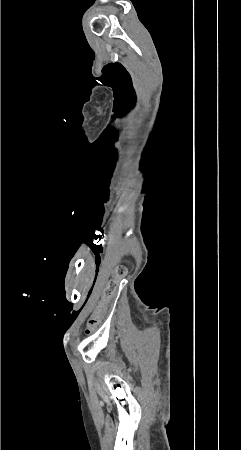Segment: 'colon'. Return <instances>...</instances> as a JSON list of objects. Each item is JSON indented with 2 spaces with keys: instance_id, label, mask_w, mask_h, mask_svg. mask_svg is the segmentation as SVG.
Masks as SVG:
<instances>
[{
  "instance_id": "colon-1",
  "label": "colon",
  "mask_w": 241,
  "mask_h": 450,
  "mask_svg": "<svg viewBox=\"0 0 241 450\" xmlns=\"http://www.w3.org/2000/svg\"><path fill=\"white\" fill-rule=\"evenodd\" d=\"M115 279L122 278L126 275V268L123 265H118L115 270ZM118 282L117 280H108L105 289L103 290L102 297L95 306L94 312L88 320L86 331L91 333L98 325L99 319L105 316L108 307L113 301L114 294L117 292Z\"/></svg>"
}]
</instances>
